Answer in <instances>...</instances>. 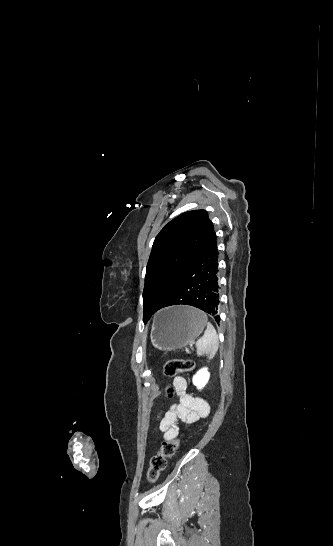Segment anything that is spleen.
I'll return each instance as SVG.
<instances>
[{"instance_id":"obj_1","label":"spleen","mask_w":333,"mask_h":546,"mask_svg":"<svg viewBox=\"0 0 333 546\" xmlns=\"http://www.w3.org/2000/svg\"><path fill=\"white\" fill-rule=\"evenodd\" d=\"M203 314L206 318L207 328L203 337L196 342V351L198 356L206 355L210 359L218 350V335L213 325L208 322L207 315Z\"/></svg>"}]
</instances>
